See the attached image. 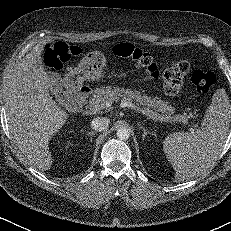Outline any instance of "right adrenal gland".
Instances as JSON below:
<instances>
[{
  "label": "right adrenal gland",
  "instance_id": "2a0ac1e0",
  "mask_svg": "<svg viewBox=\"0 0 231 231\" xmlns=\"http://www.w3.org/2000/svg\"><path fill=\"white\" fill-rule=\"evenodd\" d=\"M87 134L90 136V141H92V137H93V135L96 134V132L95 131H90V132L87 131Z\"/></svg>",
  "mask_w": 231,
  "mask_h": 231
}]
</instances>
